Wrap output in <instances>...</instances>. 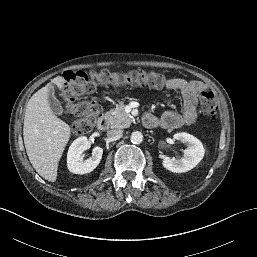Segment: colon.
Instances as JSON below:
<instances>
[{"instance_id": "1", "label": "colon", "mask_w": 257, "mask_h": 257, "mask_svg": "<svg viewBox=\"0 0 257 257\" xmlns=\"http://www.w3.org/2000/svg\"><path fill=\"white\" fill-rule=\"evenodd\" d=\"M65 87L63 96L66 110L77 116L73 124V132L82 135L90 132L102 112L99 105L81 98L92 93L99 85H147L161 88L172 79L164 74L152 70H133L128 73H115L108 70L101 71H68L63 74ZM201 111L205 118L215 120L217 117L215 96L212 92L203 90L200 93Z\"/></svg>"}]
</instances>
